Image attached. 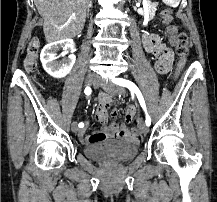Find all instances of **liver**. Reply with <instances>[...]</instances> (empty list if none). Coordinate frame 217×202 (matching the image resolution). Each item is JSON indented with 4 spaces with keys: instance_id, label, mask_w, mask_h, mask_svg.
Wrapping results in <instances>:
<instances>
[{
    "instance_id": "liver-1",
    "label": "liver",
    "mask_w": 217,
    "mask_h": 202,
    "mask_svg": "<svg viewBox=\"0 0 217 202\" xmlns=\"http://www.w3.org/2000/svg\"><path fill=\"white\" fill-rule=\"evenodd\" d=\"M89 0H34L43 18L46 42H60L75 38L82 32L86 22ZM75 16L76 20H72Z\"/></svg>"
}]
</instances>
